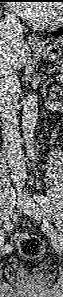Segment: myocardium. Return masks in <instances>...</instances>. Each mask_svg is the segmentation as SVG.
<instances>
[{"label": "myocardium", "instance_id": "obj_1", "mask_svg": "<svg viewBox=\"0 0 63 297\" xmlns=\"http://www.w3.org/2000/svg\"><path fill=\"white\" fill-rule=\"evenodd\" d=\"M56 9V16L52 20L48 21L44 24V27L47 28H53L60 24L62 20V8L61 6L54 5L53 6Z\"/></svg>", "mask_w": 63, "mask_h": 297}]
</instances>
